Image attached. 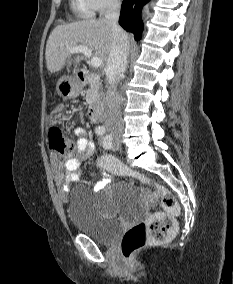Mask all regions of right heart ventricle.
Returning <instances> with one entry per match:
<instances>
[{
  "instance_id": "1",
  "label": "right heart ventricle",
  "mask_w": 233,
  "mask_h": 284,
  "mask_svg": "<svg viewBox=\"0 0 233 284\" xmlns=\"http://www.w3.org/2000/svg\"><path fill=\"white\" fill-rule=\"evenodd\" d=\"M73 7L82 17L90 18L94 15V10L89 0H74Z\"/></svg>"
}]
</instances>
